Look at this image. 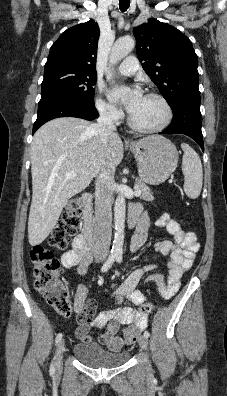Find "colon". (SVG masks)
<instances>
[{"mask_svg": "<svg viewBox=\"0 0 227 396\" xmlns=\"http://www.w3.org/2000/svg\"><path fill=\"white\" fill-rule=\"evenodd\" d=\"M82 198L73 196L66 204L61 220L56 225L49 243L57 249H65L76 234L81 222ZM30 259L33 264L34 286L47 303L59 314L69 316L71 303L69 291L60 278V263L53 253L39 244L32 248ZM139 310L144 314L153 311V305L144 303Z\"/></svg>", "mask_w": 227, "mask_h": 396, "instance_id": "5ec220e1", "label": "colon"}]
</instances>
